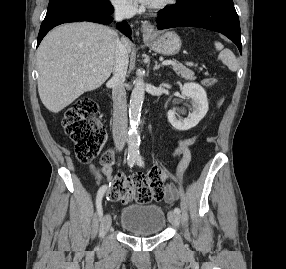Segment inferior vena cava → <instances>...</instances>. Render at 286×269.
<instances>
[{
	"label": "inferior vena cava",
	"instance_id": "1",
	"mask_svg": "<svg viewBox=\"0 0 286 269\" xmlns=\"http://www.w3.org/2000/svg\"><path fill=\"white\" fill-rule=\"evenodd\" d=\"M114 18L116 21L129 19L135 15V8L126 2H119L114 5ZM128 48L126 39L122 38L118 41L115 50L113 63V77L110 82L112 84L113 98V139L117 150L121 151L127 141V101L124 81L128 68Z\"/></svg>",
	"mask_w": 286,
	"mask_h": 269
}]
</instances>
